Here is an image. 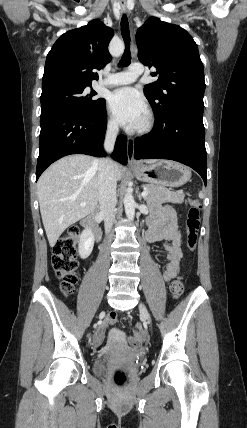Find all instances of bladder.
<instances>
[{
  "mask_svg": "<svg viewBox=\"0 0 247 428\" xmlns=\"http://www.w3.org/2000/svg\"><path fill=\"white\" fill-rule=\"evenodd\" d=\"M93 368L97 375L104 374L107 368V359L105 357H98L94 362Z\"/></svg>",
  "mask_w": 247,
  "mask_h": 428,
  "instance_id": "obj_1",
  "label": "bladder"
}]
</instances>
